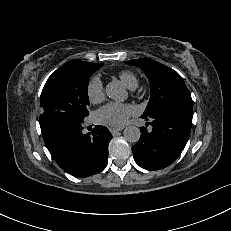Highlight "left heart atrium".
I'll return each instance as SVG.
<instances>
[{
	"mask_svg": "<svg viewBox=\"0 0 231 231\" xmlns=\"http://www.w3.org/2000/svg\"><path fill=\"white\" fill-rule=\"evenodd\" d=\"M134 109L127 104L108 103L101 107L95 114V121L103 126L119 129L128 121Z\"/></svg>",
	"mask_w": 231,
	"mask_h": 231,
	"instance_id": "left-heart-atrium-1",
	"label": "left heart atrium"
}]
</instances>
